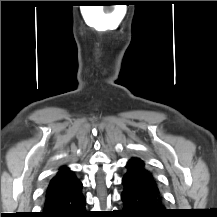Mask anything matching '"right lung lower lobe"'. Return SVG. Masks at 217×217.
I'll use <instances>...</instances> for the list:
<instances>
[{
  "label": "right lung lower lobe",
  "instance_id": "right-lung-lower-lobe-1",
  "mask_svg": "<svg viewBox=\"0 0 217 217\" xmlns=\"http://www.w3.org/2000/svg\"><path fill=\"white\" fill-rule=\"evenodd\" d=\"M82 186L74 191L45 200L43 211L37 217H89Z\"/></svg>",
  "mask_w": 217,
  "mask_h": 217
}]
</instances>
